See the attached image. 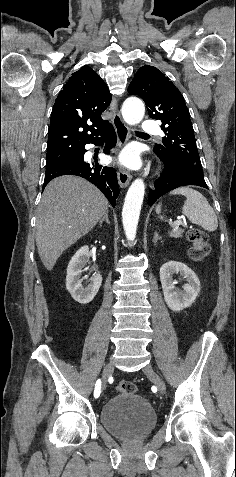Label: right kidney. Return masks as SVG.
<instances>
[{
  "mask_svg": "<svg viewBox=\"0 0 236 477\" xmlns=\"http://www.w3.org/2000/svg\"><path fill=\"white\" fill-rule=\"evenodd\" d=\"M89 258V247L83 246L74 254L67 267L66 289L73 299L81 304L90 303L96 296L102 283V276L95 274L91 277L88 285H83L81 274L87 270L86 265Z\"/></svg>",
  "mask_w": 236,
  "mask_h": 477,
  "instance_id": "ca27d5eb",
  "label": "right kidney"
}]
</instances>
